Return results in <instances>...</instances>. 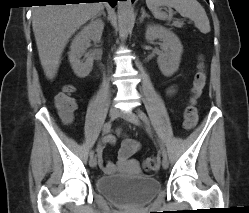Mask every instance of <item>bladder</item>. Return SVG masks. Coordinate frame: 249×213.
<instances>
[{"instance_id": "bladder-1", "label": "bladder", "mask_w": 249, "mask_h": 213, "mask_svg": "<svg viewBox=\"0 0 249 213\" xmlns=\"http://www.w3.org/2000/svg\"><path fill=\"white\" fill-rule=\"evenodd\" d=\"M99 193L121 206H141L149 202L159 191L160 182L147 175L101 176L96 182Z\"/></svg>"}]
</instances>
